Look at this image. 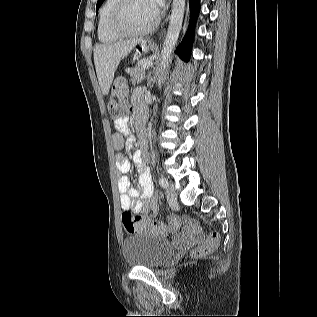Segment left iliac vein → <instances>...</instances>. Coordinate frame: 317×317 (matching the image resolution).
<instances>
[{"label": "left iliac vein", "mask_w": 317, "mask_h": 317, "mask_svg": "<svg viewBox=\"0 0 317 317\" xmlns=\"http://www.w3.org/2000/svg\"><path fill=\"white\" fill-rule=\"evenodd\" d=\"M166 196L170 204H175L177 202V194L173 185L168 184V186L166 187Z\"/></svg>", "instance_id": "obj_1"}]
</instances>
